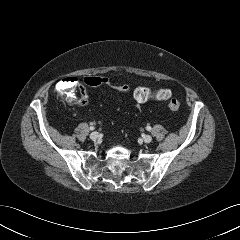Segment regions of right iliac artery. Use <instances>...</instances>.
Listing matches in <instances>:
<instances>
[{"label": "right iliac artery", "mask_w": 240, "mask_h": 240, "mask_svg": "<svg viewBox=\"0 0 240 240\" xmlns=\"http://www.w3.org/2000/svg\"><path fill=\"white\" fill-rule=\"evenodd\" d=\"M94 129H95V127H94V126H91V127H90V130H94Z\"/></svg>", "instance_id": "82829eb1"}]
</instances>
